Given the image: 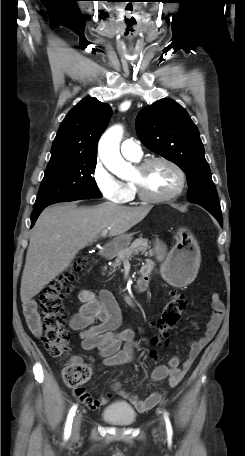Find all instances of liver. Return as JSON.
Wrapping results in <instances>:
<instances>
[{
    "label": "liver",
    "mask_w": 245,
    "mask_h": 456,
    "mask_svg": "<svg viewBox=\"0 0 245 456\" xmlns=\"http://www.w3.org/2000/svg\"><path fill=\"white\" fill-rule=\"evenodd\" d=\"M151 205L126 207L104 202L93 207L55 204L39 216L31 233L21 279L20 296L27 303L59 276L79 250L93 243L104 230L121 236L142 221Z\"/></svg>",
    "instance_id": "liver-1"
}]
</instances>
